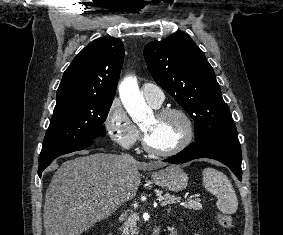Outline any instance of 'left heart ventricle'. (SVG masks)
<instances>
[{"label":"left heart ventricle","instance_id":"1","mask_svg":"<svg viewBox=\"0 0 283 235\" xmlns=\"http://www.w3.org/2000/svg\"><path fill=\"white\" fill-rule=\"evenodd\" d=\"M149 144L158 150H169L176 146L185 132L183 120L174 114L158 118L152 115L143 125Z\"/></svg>","mask_w":283,"mask_h":235}]
</instances>
